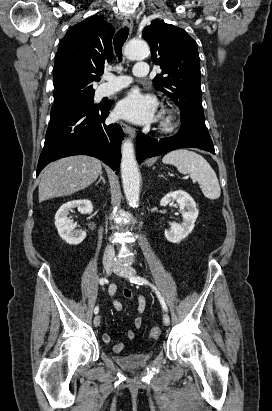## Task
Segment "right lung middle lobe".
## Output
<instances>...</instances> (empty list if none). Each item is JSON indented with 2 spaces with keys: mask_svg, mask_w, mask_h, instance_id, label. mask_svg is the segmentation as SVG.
<instances>
[{
  "mask_svg": "<svg viewBox=\"0 0 272 411\" xmlns=\"http://www.w3.org/2000/svg\"><path fill=\"white\" fill-rule=\"evenodd\" d=\"M94 90L78 91L62 102L54 103L51 109L50 117H54L74 109L94 105Z\"/></svg>",
  "mask_w": 272,
  "mask_h": 411,
  "instance_id": "right-lung-middle-lobe-1",
  "label": "right lung middle lobe"
}]
</instances>
